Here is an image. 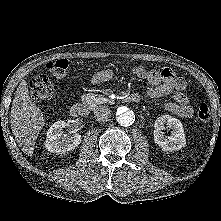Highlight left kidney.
Wrapping results in <instances>:
<instances>
[{
	"label": "left kidney",
	"mask_w": 221,
	"mask_h": 221,
	"mask_svg": "<svg viewBox=\"0 0 221 221\" xmlns=\"http://www.w3.org/2000/svg\"><path fill=\"white\" fill-rule=\"evenodd\" d=\"M164 125H167L171 131L170 136L164 135ZM154 140L165 152L180 150L186 145V138L182 123L170 115H162L155 121Z\"/></svg>",
	"instance_id": "5707ae66"
}]
</instances>
